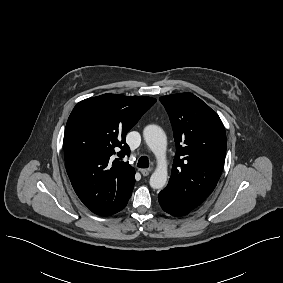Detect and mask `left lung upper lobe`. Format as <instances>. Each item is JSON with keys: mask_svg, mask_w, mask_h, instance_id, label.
<instances>
[{"mask_svg": "<svg viewBox=\"0 0 283 283\" xmlns=\"http://www.w3.org/2000/svg\"><path fill=\"white\" fill-rule=\"evenodd\" d=\"M174 133L176 156L168 183L194 209L214 190L223 170L226 133L219 116L191 93L160 97Z\"/></svg>", "mask_w": 283, "mask_h": 283, "instance_id": "5c2ea615", "label": "left lung upper lobe"}]
</instances>
